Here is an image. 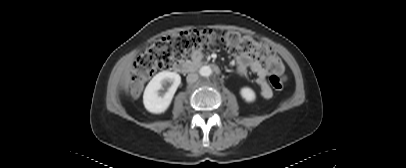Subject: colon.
I'll list each match as a JSON object with an SVG mask.
<instances>
[{
  "instance_id": "obj_1",
  "label": "colon",
  "mask_w": 406,
  "mask_h": 168,
  "mask_svg": "<svg viewBox=\"0 0 406 168\" xmlns=\"http://www.w3.org/2000/svg\"><path fill=\"white\" fill-rule=\"evenodd\" d=\"M217 42H222L230 52L265 60L271 70V86L276 91L284 88V65L266 43L235 31L187 29L155 41L135 59L126 76L131 96L137 97L146 81L158 70L167 68L175 60L196 51L205 50Z\"/></svg>"
}]
</instances>
